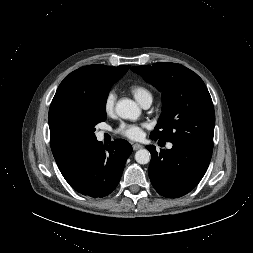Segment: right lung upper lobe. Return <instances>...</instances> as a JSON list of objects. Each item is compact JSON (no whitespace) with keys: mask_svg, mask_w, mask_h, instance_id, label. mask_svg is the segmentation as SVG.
I'll return each instance as SVG.
<instances>
[{"mask_svg":"<svg viewBox=\"0 0 253 253\" xmlns=\"http://www.w3.org/2000/svg\"><path fill=\"white\" fill-rule=\"evenodd\" d=\"M129 68L130 65H88L64 78L51 102L48 115L50 145L55 160L79 145L64 127L62 118L65 110L70 105H81L95 100L104 86L113 85Z\"/></svg>","mask_w":253,"mask_h":253,"instance_id":"cb5924a9","label":"right lung upper lobe"}]
</instances>
